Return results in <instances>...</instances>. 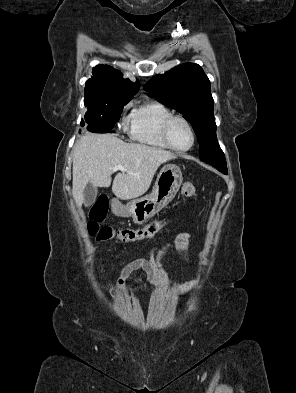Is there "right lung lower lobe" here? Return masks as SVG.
<instances>
[{"label":"right lung lower lobe","instance_id":"98d812e1","mask_svg":"<svg viewBox=\"0 0 296 393\" xmlns=\"http://www.w3.org/2000/svg\"><path fill=\"white\" fill-rule=\"evenodd\" d=\"M89 131L95 132V133H110V132H114L113 130L104 131V130H99V129H95V128H92Z\"/></svg>","mask_w":296,"mask_h":393}]
</instances>
